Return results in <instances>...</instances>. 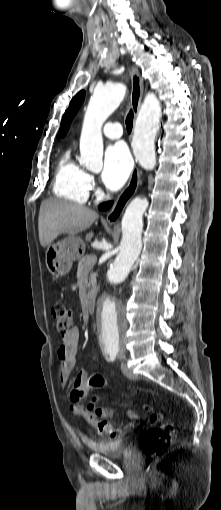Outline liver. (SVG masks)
Wrapping results in <instances>:
<instances>
[{"label": "liver", "mask_w": 221, "mask_h": 510, "mask_svg": "<svg viewBox=\"0 0 221 510\" xmlns=\"http://www.w3.org/2000/svg\"><path fill=\"white\" fill-rule=\"evenodd\" d=\"M98 218V213L88 207L60 199H47L41 203L38 229L42 247L50 245L59 235L74 236L89 228ZM89 232L85 239L93 237Z\"/></svg>", "instance_id": "1"}]
</instances>
